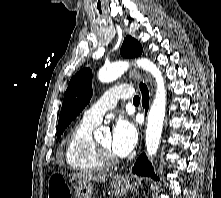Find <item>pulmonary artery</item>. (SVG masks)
<instances>
[{
  "label": "pulmonary artery",
  "instance_id": "obj_1",
  "mask_svg": "<svg viewBox=\"0 0 221 198\" xmlns=\"http://www.w3.org/2000/svg\"><path fill=\"white\" fill-rule=\"evenodd\" d=\"M133 96V89L127 85L116 86L106 91L103 96L83 114V120L99 124L104 113L116 106L120 99Z\"/></svg>",
  "mask_w": 221,
  "mask_h": 198
}]
</instances>
